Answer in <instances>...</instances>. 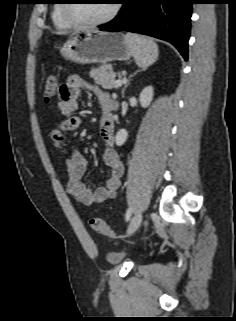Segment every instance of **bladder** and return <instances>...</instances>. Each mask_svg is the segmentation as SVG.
<instances>
[{
    "instance_id": "obj_1",
    "label": "bladder",
    "mask_w": 236,
    "mask_h": 321,
    "mask_svg": "<svg viewBox=\"0 0 236 321\" xmlns=\"http://www.w3.org/2000/svg\"><path fill=\"white\" fill-rule=\"evenodd\" d=\"M107 256L109 260L113 263H118L125 258V254L118 252L109 253Z\"/></svg>"
}]
</instances>
